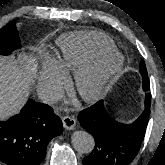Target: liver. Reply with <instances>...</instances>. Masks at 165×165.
Listing matches in <instances>:
<instances>
[{
    "instance_id": "liver-1",
    "label": "liver",
    "mask_w": 165,
    "mask_h": 165,
    "mask_svg": "<svg viewBox=\"0 0 165 165\" xmlns=\"http://www.w3.org/2000/svg\"><path fill=\"white\" fill-rule=\"evenodd\" d=\"M37 71L38 64L32 56L23 54L18 59L0 56V120L20 111L27 101Z\"/></svg>"
}]
</instances>
